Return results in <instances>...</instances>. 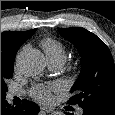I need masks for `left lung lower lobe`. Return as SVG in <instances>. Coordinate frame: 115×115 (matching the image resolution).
Listing matches in <instances>:
<instances>
[{"instance_id": "left-lung-lower-lobe-1", "label": "left lung lower lobe", "mask_w": 115, "mask_h": 115, "mask_svg": "<svg viewBox=\"0 0 115 115\" xmlns=\"http://www.w3.org/2000/svg\"><path fill=\"white\" fill-rule=\"evenodd\" d=\"M66 115H73V114L66 113ZM83 115H106V114L97 112V111H93V110L83 109Z\"/></svg>"}]
</instances>
